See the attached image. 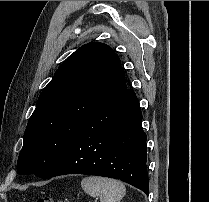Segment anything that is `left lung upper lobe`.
Masks as SVG:
<instances>
[{
	"instance_id": "5c2ea615",
	"label": "left lung upper lobe",
	"mask_w": 209,
	"mask_h": 202,
	"mask_svg": "<svg viewBox=\"0 0 209 202\" xmlns=\"http://www.w3.org/2000/svg\"><path fill=\"white\" fill-rule=\"evenodd\" d=\"M127 90L117 54L106 44L78 48L41 92L24 132L19 174L51 178L84 122Z\"/></svg>"
}]
</instances>
